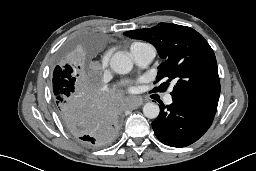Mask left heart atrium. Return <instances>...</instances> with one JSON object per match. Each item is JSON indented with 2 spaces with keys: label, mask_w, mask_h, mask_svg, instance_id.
Segmentation results:
<instances>
[{
  "label": "left heart atrium",
  "mask_w": 256,
  "mask_h": 171,
  "mask_svg": "<svg viewBox=\"0 0 256 171\" xmlns=\"http://www.w3.org/2000/svg\"><path fill=\"white\" fill-rule=\"evenodd\" d=\"M128 91L131 92V93L136 92V86L130 85V86L128 87Z\"/></svg>",
  "instance_id": "1"
}]
</instances>
